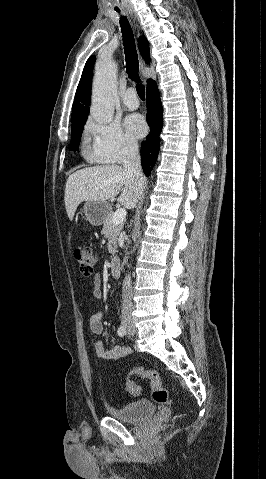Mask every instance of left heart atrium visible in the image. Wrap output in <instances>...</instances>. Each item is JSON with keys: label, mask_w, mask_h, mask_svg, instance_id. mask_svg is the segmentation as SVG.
<instances>
[{"label": "left heart atrium", "mask_w": 266, "mask_h": 479, "mask_svg": "<svg viewBox=\"0 0 266 479\" xmlns=\"http://www.w3.org/2000/svg\"><path fill=\"white\" fill-rule=\"evenodd\" d=\"M125 127L129 135L133 138H139L146 132L147 126L143 117L139 114H131L125 119Z\"/></svg>", "instance_id": "39dd6f15"}]
</instances>
